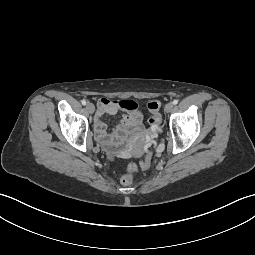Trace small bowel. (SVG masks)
Segmentation results:
<instances>
[{
    "label": "small bowel",
    "instance_id": "c3829d8e",
    "mask_svg": "<svg viewBox=\"0 0 255 255\" xmlns=\"http://www.w3.org/2000/svg\"><path fill=\"white\" fill-rule=\"evenodd\" d=\"M97 104L94 129L98 141L108 150L118 147L127 135L142 131V115L135 101L100 98ZM119 112H123L120 123L113 132H109L102 118L105 114L115 115Z\"/></svg>",
    "mask_w": 255,
    "mask_h": 255
}]
</instances>
